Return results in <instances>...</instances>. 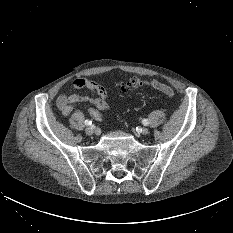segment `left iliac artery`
Wrapping results in <instances>:
<instances>
[{"mask_svg":"<svg viewBox=\"0 0 233 233\" xmlns=\"http://www.w3.org/2000/svg\"><path fill=\"white\" fill-rule=\"evenodd\" d=\"M142 123H143L145 126H147V125L149 124V121H148L147 119H143V120H142Z\"/></svg>","mask_w":233,"mask_h":233,"instance_id":"left-iliac-artery-1","label":"left iliac artery"}]
</instances>
